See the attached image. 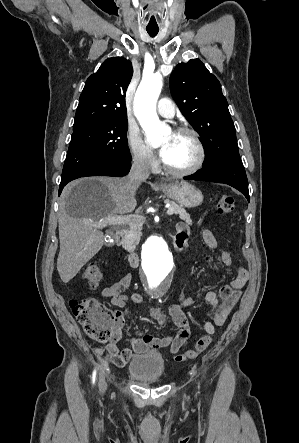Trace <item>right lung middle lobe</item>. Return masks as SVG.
I'll return each mask as SVG.
<instances>
[{"label":"right lung middle lobe","instance_id":"1","mask_svg":"<svg viewBox=\"0 0 299 443\" xmlns=\"http://www.w3.org/2000/svg\"><path fill=\"white\" fill-rule=\"evenodd\" d=\"M127 119H104L73 127L61 181L97 164L130 160Z\"/></svg>","mask_w":299,"mask_h":443}]
</instances>
